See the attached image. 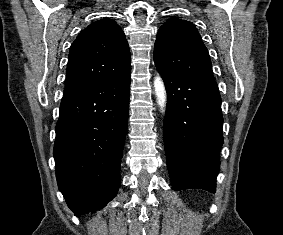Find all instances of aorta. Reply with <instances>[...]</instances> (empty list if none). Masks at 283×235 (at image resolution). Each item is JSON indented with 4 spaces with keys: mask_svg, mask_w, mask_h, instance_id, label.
Masks as SVG:
<instances>
[{
    "mask_svg": "<svg viewBox=\"0 0 283 235\" xmlns=\"http://www.w3.org/2000/svg\"><path fill=\"white\" fill-rule=\"evenodd\" d=\"M154 91L158 105L160 106L162 111H165L167 103L166 89L164 82L159 75H157L154 79Z\"/></svg>",
    "mask_w": 283,
    "mask_h": 235,
    "instance_id": "aorta-1",
    "label": "aorta"
}]
</instances>
